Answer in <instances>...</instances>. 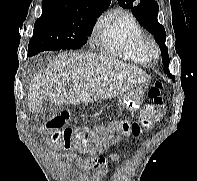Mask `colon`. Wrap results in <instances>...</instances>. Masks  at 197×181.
<instances>
[{"label":"colon","instance_id":"1","mask_svg":"<svg viewBox=\"0 0 197 181\" xmlns=\"http://www.w3.org/2000/svg\"><path fill=\"white\" fill-rule=\"evenodd\" d=\"M163 83L155 82L148 90L149 102L141 110L138 121H121L108 126L98 127H71L66 126L70 118L68 113H61L49 120L43 127L48 134L50 144L54 148L101 153L120 136L139 135L149 130L160 120L164 114V101L162 98Z\"/></svg>","mask_w":197,"mask_h":181}]
</instances>
